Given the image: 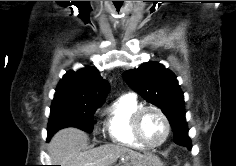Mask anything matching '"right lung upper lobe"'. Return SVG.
<instances>
[{
    "label": "right lung upper lobe",
    "instance_id": "1",
    "mask_svg": "<svg viewBox=\"0 0 236 166\" xmlns=\"http://www.w3.org/2000/svg\"><path fill=\"white\" fill-rule=\"evenodd\" d=\"M109 92V84L94 67L67 72L59 82L53 102L74 101L100 105Z\"/></svg>",
    "mask_w": 236,
    "mask_h": 166
}]
</instances>
